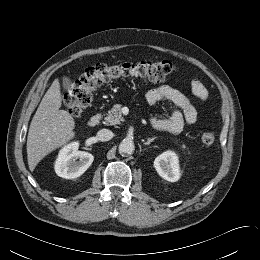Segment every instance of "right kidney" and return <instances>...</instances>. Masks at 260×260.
I'll use <instances>...</instances> for the list:
<instances>
[{
  "label": "right kidney",
  "mask_w": 260,
  "mask_h": 260,
  "mask_svg": "<svg viewBox=\"0 0 260 260\" xmlns=\"http://www.w3.org/2000/svg\"><path fill=\"white\" fill-rule=\"evenodd\" d=\"M78 147V142H72L60 150L54 166L58 176L74 179L81 176L90 167L94 160L93 155L79 151ZM76 159L78 160L76 161Z\"/></svg>",
  "instance_id": "ca27d5eb"
}]
</instances>
